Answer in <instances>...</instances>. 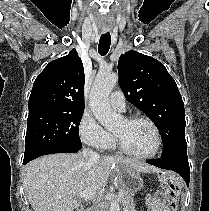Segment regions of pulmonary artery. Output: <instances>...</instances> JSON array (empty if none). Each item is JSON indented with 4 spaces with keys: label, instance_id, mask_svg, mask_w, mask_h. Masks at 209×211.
I'll return each instance as SVG.
<instances>
[{
    "label": "pulmonary artery",
    "instance_id": "obj_1",
    "mask_svg": "<svg viewBox=\"0 0 209 211\" xmlns=\"http://www.w3.org/2000/svg\"><path fill=\"white\" fill-rule=\"evenodd\" d=\"M110 105L112 108L118 111H124L125 110V98L121 91H115L110 96Z\"/></svg>",
    "mask_w": 209,
    "mask_h": 211
}]
</instances>
